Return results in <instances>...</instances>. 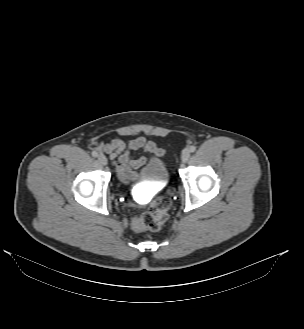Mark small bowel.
Here are the masks:
<instances>
[{
    "label": "small bowel",
    "instance_id": "obj_1",
    "mask_svg": "<svg viewBox=\"0 0 304 329\" xmlns=\"http://www.w3.org/2000/svg\"><path fill=\"white\" fill-rule=\"evenodd\" d=\"M101 150L109 155L111 161L115 164L119 179L124 184L138 178L137 169L141 168L147 161V157L135 158L132 152L145 151L160 157L164 150L157 144L146 139L144 136H138L125 142L120 137H114L101 146Z\"/></svg>",
    "mask_w": 304,
    "mask_h": 329
}]
</instances>
